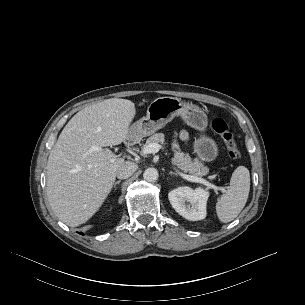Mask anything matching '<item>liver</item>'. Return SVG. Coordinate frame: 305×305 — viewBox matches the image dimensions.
I'll return each instance as SVG.
<instances>
[{
	"mask_svg": "<svg viewBox=\"0 0 305 305\" xmlns=\"http://www.w3.org/2000/svg\"><path fill=\"white\" fill-rule=\"evenodd\" d=\"M134 103L111 98L79 111L64 127L47 162V197L56 216L70 227L86 223L110 193L124 160L103 148L129 136ZM93 145L102 148L92 151Z\"/></svg>",
	"mask_w": 305,
	"mask_h": 305,
	"instance_id": "6515ba94",
	"label": "liver"
}]
</instances>
